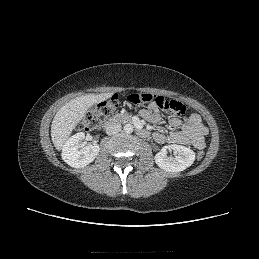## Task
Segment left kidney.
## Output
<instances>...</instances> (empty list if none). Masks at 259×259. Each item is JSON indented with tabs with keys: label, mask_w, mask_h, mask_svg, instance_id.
I'll return each instance as SVG.
<instances>
[{
	"label": "left kidney",
	"mask_w": 259,
	"mask_h": 259,
	"mask_svg": "<svg viewBox=\"0 0 259 259\" xmlns=\"http://www.w3.org/2000/svg\"><path fill=\"white\" fill-rule=\"evenodd\" d=\"M167 150H172L175 157L167 156ZM159 168L168 172H180L190 167L195 161V153L182 145L164 146L154 157Z\"/></svg>",
	"instance_id": "obj_1"
}]
</instances>
